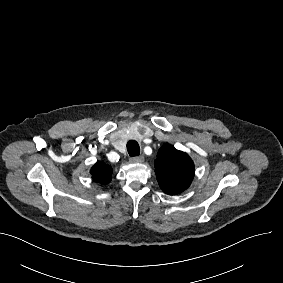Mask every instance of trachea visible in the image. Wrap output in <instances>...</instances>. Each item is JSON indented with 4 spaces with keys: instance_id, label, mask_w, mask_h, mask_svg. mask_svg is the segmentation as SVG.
Returning a JSON list of instances; mask_svg holds the SVG:
<instances>
[{
    "instance_id": "obj_1",
    "label": "trachea",
    "mask_w": 283,
    "mask_h": 283,
    "mask_svg": "<svg viewBox=\"0 0 283 283\" xmlns=\"http://www.w3.org/2000/svg\"><path fill=\"white\" fill-rule=\"evenodd\" d=\"M127 151L131 157L139 156L140 154L139 144L135 140H130L127 143Z\"/></svg>"
}]
</instances>
